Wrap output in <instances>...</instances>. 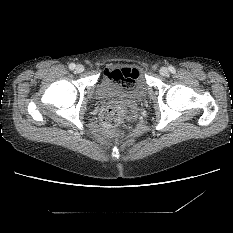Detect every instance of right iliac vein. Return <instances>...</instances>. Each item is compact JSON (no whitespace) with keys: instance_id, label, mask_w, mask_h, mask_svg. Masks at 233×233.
<instances>
[{"instance_id":"obj_1","label":"right iliac vein","mask_w":233,"mask_h":233,"mask_svg":"<svg viewBox=\"0 0 233 233\" xmlns=\"http://www.w3.org/2000/svg\"><path fill=\"white\" fill-rule=\"evenodd\" d=\"M75 71L77 72V73H81V72H83L84 71V66L83 65H77L76 66V68H75Z\"/></svg>"}]
</instances>
